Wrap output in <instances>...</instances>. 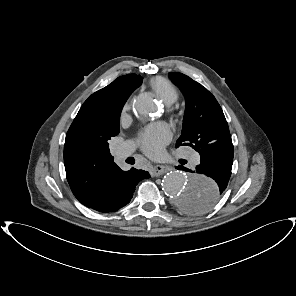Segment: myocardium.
Returning a JSON list of instances; mask_svg holds the SVG:
<instances>
[{"label": "myocardium", "mask_w": 296, "mask_h": 296, "mask_svg": "<svg viewBox=\"0 0 296 296\" xmlns=\"http://www.w3.org/2000/svg\"><path fill=\"white\" fill-rule=\"evenodd\" d=\"M165 110L168 114L173 112V108L171 107V105H165Z\"/></svg>", "instance_id": "myocardium-1"}]
</instances>
